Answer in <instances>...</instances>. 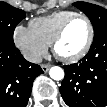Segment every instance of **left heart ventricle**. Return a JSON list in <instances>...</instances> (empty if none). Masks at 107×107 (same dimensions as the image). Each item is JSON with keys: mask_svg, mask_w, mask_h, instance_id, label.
I'll list each match as a JSON object with an SVG mask.
<instances>
[{"mask_svg": "<svg viewBox=\"0 0 107 107\" xmlns=\"http://www.w3.org/2000/svg\"><path fill=\"white\" fill-rule=\"evenodd\" d=\"M89 36L85 20L77 18L67 27L63 38L57 45V52L62 56H73L82 50Z\"/></svg>", "mask_w": 107, "mask_h": 107, "instance_id": "obj_1", "label": "left heart ventricle"}]
</instances>
